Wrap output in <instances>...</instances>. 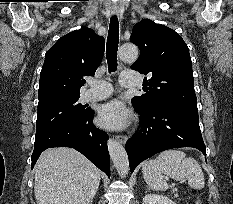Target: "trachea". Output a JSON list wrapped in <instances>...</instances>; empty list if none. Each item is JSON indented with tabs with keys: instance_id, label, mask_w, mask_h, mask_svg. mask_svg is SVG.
<instances>
[{
	"instance_id": "obj_1",
	"label": "trachea",
	"mask_w": 233,
	"mask_h": 204,
	"mask_svg": "<svg viewBox=\"0 0 233 204\" xmlns=\"http://www.w3.org/2000/svg\"><path fill=\"white\" fill-rule=\"evenodd\" d=\"M119 43V23L116 15L112 16L109 24V32L106 45V59L109 72L117 70V51Z\"/></svg>"
}]
</instances>
